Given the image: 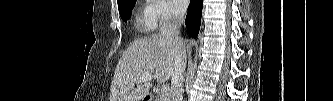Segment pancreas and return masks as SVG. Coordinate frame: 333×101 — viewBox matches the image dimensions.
Here are the masks:
<instances>
[{
    "label": "pancreas",
    "mask_w": 333,
    "mask_h": 101,
    "mask_svg": "<svg viewBox=\"0 0 333 101\" xmlns=\"http://www.w3.org/2000/svg\"><path fill=\"white\" fill-rule=\"evenodd\" d=\"M170 94L169 93H163L160 92L157 96V101H170Z\"/></svg>",
    "instance_id": "pancreas-1"
}]
</instances>
